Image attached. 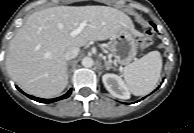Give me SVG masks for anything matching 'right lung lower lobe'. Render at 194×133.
Here are the masks:
<instances>
[{
	"label": "right lung lower lobe",
	"mask_w": 194,
	"mask_h": 133,
	"mask_svg": "<svg viewBox=\"0 0 194 133\" xmlns=\"http://www.w3.org/2000/svg\"><path fill=\"white\" fill-rule=\"evenodd\" d=\"M18 88V87H17ZM18 90H20L19 88H18ZM21 91V90H20ZM71 91H72V89H70L65 95H63V96H61V97H57V98H54V99H42V98H37V97H34V96H31V95H27V94H25L24 92H22V93H24L26 96H28L29 98H31V99H33V100H35V101H38V102H41V103H52V102H55V101H58V100H61V99H65V98H67V97H69V95L71 94Z\"/></svg>",
	"instance_id": "right-lung-lower-lobe-1"
}]
</instances>
